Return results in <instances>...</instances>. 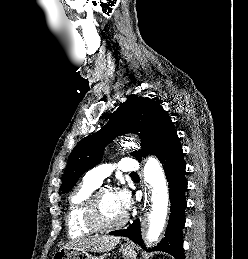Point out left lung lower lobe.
<instances>
[{
  "label": "left lung lower lobe",
  "mask_w": 248,
  "mask_h": 259,
  "mask_svg": "<svg viewBox=\"0 0 248 259\" xmlns=\"http://www.w3.org/2000/svg\"><path fill=\"white\" fill-rule=\"evenodd\" d=\"M156 156L163 164V169L167 175L171 206L165 238L157 247L152 248V251H163L171 254L175 259H185L182 229L185 225L184 212L187 206L185 199L187 181L183 151L179 140L168 148L161 150ZM110 235L128 237L144 247L143 242H141L139 220H136L127 229L113 231Z\"/></svg>",
  "instance_id": "1"
}]
</instances>
